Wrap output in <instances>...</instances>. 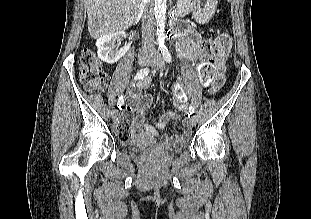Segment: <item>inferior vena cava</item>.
Instances as JSON below:
<instances>
[{"instance_id":"602c4592","label":"inferior vena cava","mask_w":311,"mask_h":219,"mask_svg":"<svg viewBox=\"0 0 311 219\" xmlns=\"http://www.w3.org/2000/svg\"><path fill=\"white\" fill-rule=\"evenodd\" d=\"M144 6V14L142 19V42L143 51L154 50V10L152 0H141Z\"/></svg>"}]
</instances>
